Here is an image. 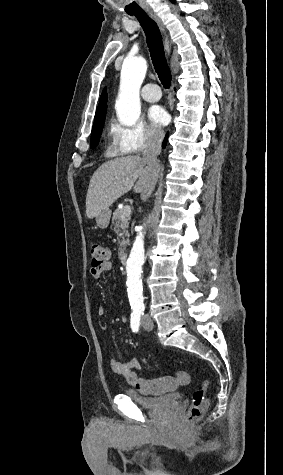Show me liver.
<instances>
[{
    "instance_id": "obj_1",
    "label": "liver",
    "mask_w": 283,
    "mask_h": 475,
    "mask_svg": "<svg viewBox=\"0 0 283 475\" xmlns=\"http://www.w3.org/2000/svg\"><path fill=\"white\" fill-rule=\"evenodd\" d=\"M146 162L140 156H126L116 158L102 164L94 172L87 196L86 216L95 218L102 210L112 206L118 198L127 194L134 186L136 194H146L150 178L145 172Z\"/></svg>"
}]
</instances>
